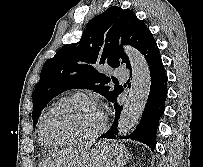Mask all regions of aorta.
<instances>
[{"instance_id": "aorta-1", "label": "aorta", "mask_w": 203, "mask_h": 167, "mask_svg": "<svg viewBox=\"0 0 203 167\" xmlns=\"http://www.w3.org/2000/svg\"><path fill=\"white\" fill-rule=\"evenodd\" d=\"M132 68L131 89L118 122L119 135H127L138 123L145 108L151 85L145 57L131 46H124Z\"/></svg>"}]
</instances>
